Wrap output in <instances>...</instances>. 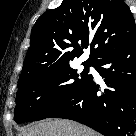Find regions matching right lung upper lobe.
<instances>
[{"instance_id":"obj_1","label":"right lung upper lobe","mask_w":136,"mask_h":136,"mask_svg":"<svg viewBox=\"0 0 136 136\" xmlns=\"http://www.w3.org/2000/svg\"><path fill=\"white\" fill-rule=\"evenodd\" d=\"M136 36V24L123 0H64L46 11L32 28L19 80L31 73L70 64L90 45L93 63L100 55Z\"/></svg>"}]
</instances>
